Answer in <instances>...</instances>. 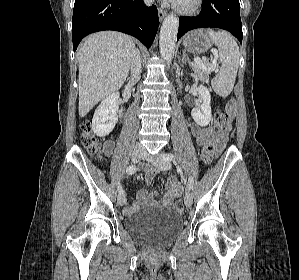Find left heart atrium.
I'll use <instances>...</instances> for the list:
<instances>
[{
    "label": "left heart atrium",
    "instance_id": "1",
    "mask_svg": "<svg viewBox=\"0 0 299 280\" xmlns=\"http://www.w3.org/2000/svg\"><path fill=\"white\" fill-rule=\"evenodd\" d=\"M167 1L172 2V3H178V2H180V0H167Z\"/></svg>",
    "mask_w": 299,
    "mask_h": 280
}]
</instances>
